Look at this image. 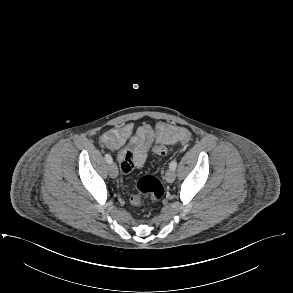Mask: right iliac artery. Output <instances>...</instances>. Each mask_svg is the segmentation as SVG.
<instances>
[{
    "instance_id": "1",
    "label": "right iliac artery",
    "mask_w": 293,
    "mask_h": 293,
    "mask_svg": "<svg viewBox=\"0 0 293 293\" xmlns=\"http://www.w3.org/2000/svg\"><path fill=\"white\" fill-rule=\"evenodd\" d=\"M105 160L107 161L108 164H111L113 162L112 157L110 154H105Z\"/></svg>"
}]
</instances>
